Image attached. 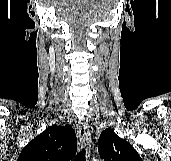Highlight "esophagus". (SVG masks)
<instances>
[{
    "mask_svg": "<svg viewBox=\"0 0 171 161\" xmlns=\"http://www.w3.org/2000/svg\"><path fill=\"white\" fill-rule=\"evenodd\" d=\"M77 136L81 149H85L87 156L90 155V131L85 121L81 122L78 126Z\"/></svg>",
    "mask_w": 171,
    "mask_h": 161,
    "instance_id": "1",
    "label": "esophagus"
}]
</instances>
